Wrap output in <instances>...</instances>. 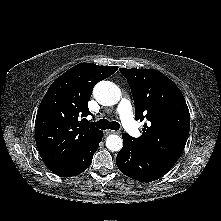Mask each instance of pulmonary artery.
Returning a JSON list of instances; mask_svg holds the SVG:
<instances>
[{"label":"pulmonary artery","instance_id":"obj_1","mask_svg":"<svg viewBox=\"0 0 221 221\" xmlns=\"http://www.w3.org/2000/svg\"><path fill=\"white\" fill-rule=\"evenodd\" d=\"M117 114L120 117L122 126L135 138L139 137L141 132L137 126L131 108V103L128 99H122L117 107Z\"/></svg>","mask_w":221,"mask_h":221}]
</instances>
